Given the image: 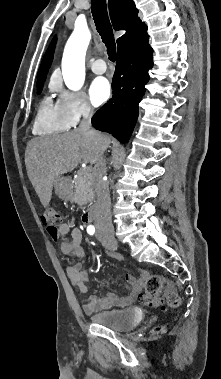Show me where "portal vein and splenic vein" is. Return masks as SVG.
<instances>
[{
	"instance_id": "1",
	"label": "portal vein and splenic vein",
	"mask_w": 221,
	"mask_h": 379,
	"mask_svg": "<svg viewBox=\"0 0 221 379\" xmlns=\"http://www.w3.org/2000/svg\"><path fill=\"white\" fill-rule=\"evenodd\" d=\"M86 172H88V169H83V173H86Z\"/></svg>"
}]
</instances>
